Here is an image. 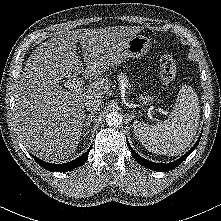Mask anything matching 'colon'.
I'll list each match as a JSON object with an SVG mask.
<instances>
[{
    "instance_id": "obj_1",
    "label": "colon",
    "mask_w": 221,
    "mask_h": 221,
    "mask_svg": "<svg viewBox=\"0 0 221 221\" xmlns=\"http://www.w3.org/2000/svg\"><path fill=\"white\" fill-rule=\"evenodd\" d=\"M160 81L164 88H168L177 75V65L171 54H163L159 61Z\"/></svg>"
}]
</instances>
